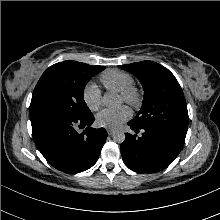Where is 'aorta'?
Wrapping results in <instances>:
<instances>
[{
	"label": "aorta",
	"mask_w": 220,
	"mask_h": 220,
	"mask_svg": "<svg viewBox=\"0 0 220 220\" xmlns=\"http://www.w3.org/2000/svg\"><path fill=\"white\" fill-rule=\"evenodd\" d=\"M102 103L106 106V107H113L116 105L117 103V98L115 96H112L110 94H105L102 98ZM113 140L116 143H123L125 140V134L122 131H117L115 132L113 135Z\"/></svg>",
	"instance_id": "aorta-1"
}]
</instances>
